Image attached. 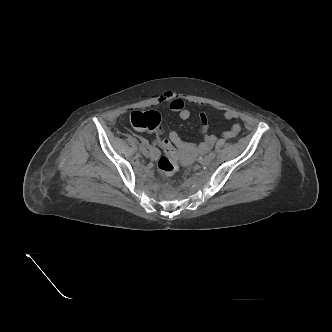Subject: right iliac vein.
<instances>
[{
  "label": "right iliac vein",
  "instance_id": "63e3f726",
  "mask_svg": "<svg viewBox=\"0 0 332 332\" xmlns=\"http://www.w3.org/2000/svg\"><path fill=\"white\" fill-rule=\"evenodd\" d=\"M139 151H140L141 153H145V152H146V148H145V146H144V145H140V146H139Z\"/></svg>",
  "mask_w": 332,
  "mask_h": 332
}]
</instances>
